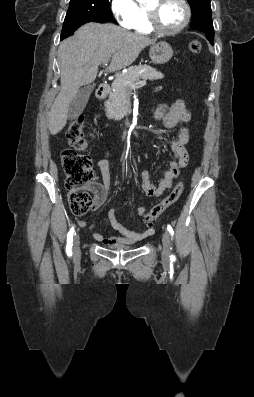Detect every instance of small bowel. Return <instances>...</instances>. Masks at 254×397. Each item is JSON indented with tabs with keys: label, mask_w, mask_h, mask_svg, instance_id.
Masks as SVG:
<instances>
[{
	"label": "small bowel",
	"mask_w": 254,
	"mask_h": 397,
	"mask_svg": "<svg viewBox=\"0 0 254 397\" xmlns=\"http://www.w3.org/2000/svg\"><path fill=\"white\" fill-rule=\"evenodd\" d=\"M161 87H157L160 90ZM152 118L154 120H160L164 126L168 129L180 127L179 134L176 139L169 142L170 148L173 153V159L170 161L169 168L165 170L160 179L154 182L151 179L150 172L148 169H144L141 173L142 189L147 196L155 198L160 197L165 191L171 188L173 182L178 177L181 169L185 168L188 164L189 155L185 148L189 140L188 124L191 121V112L187 109L186 99H178L172 105L160 104L153 111ZM110 153H107L105 157L98 161L97 166L102 176V183L93 184L90 189L96 194L94 203L92 206L93 211H98L105 203L108 195L110 194L111 188V173L109 167ZM117 208H112L108 212V219L119 235L118 236H104L98 232H93L92 235L95 240L100 243L109 246L124 245V244H135L142 241L154 233L153 228H148L141 232H133L123 226L117 219L116 214ZM136 212L139 215H143L146 212L144 206H138ZM78 225L81 227L86 226L85 221H78ZM91 230L95 229V225L90 226Z\"/></svg>",
	"instance_id": "1"
}]
</instances>
